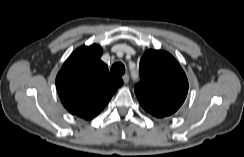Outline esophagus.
Instances as JSON below:
<instances>
[{
    "instance_id": "esophagus-1",
    "label": "esophagus",
    "mask_w": 244,
    "mask_h": 157,
    "mask_svg": "<svg viewBox=\"0 0 244 157\" xmlns=\"http://www.w3.org/2000/svg\"><path fill=\"white\" fill-rule=\"evenodd\" d=\"M123 81L125 84H127L129 82V75L128 74H125L123 77H122Z\"/></svg>"
}]
</instances>
